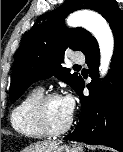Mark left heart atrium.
Returning <instances> with one entry per match:
<instances>
[{
	"mask_svg": "<svg viewBox=\"0 0 123 152\" xmlns=\"http://www.w3.org/2000/svg\"><path fill=\"white\" fill-rule=\"evenodd\" d=\"M67 112L71 116L75 107V101L71 94H67L62 98Z\"/></svg>",
	"mask_w": 123,
	"mask_h": 152,
	"instance_id": "39dd6f15",
	"label": "left heart atrium"
}]
</instances>
